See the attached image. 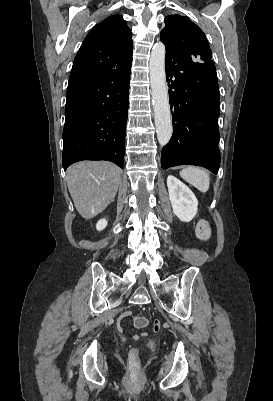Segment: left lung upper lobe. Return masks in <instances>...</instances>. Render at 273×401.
Wrapping results in <instances>:
<instances>
[{
	"mask_svg": "<svg viewBox=\"0 0 273 401\" xmlns=\"http://www.w3.org/2000/svg\"><path fill=\"white\" fill-rule=\"evenodd\" d=\"M160 34L166 52L177 53L190 59L212 61V52L203 31L188 17L169 15Z\"/></svg>",
	"mask_w": 273,
	"mask_h": 401,
	"instance_id": "obj_1",
	"label": "left lung upper lobe"
}]
</instances>
